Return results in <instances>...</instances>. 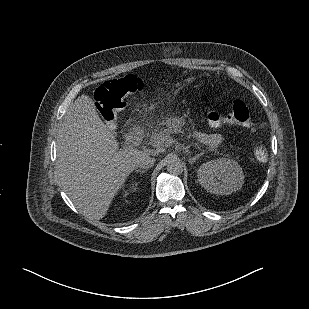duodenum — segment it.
<instances>
[{"mask_svg": "<svg viewBox=\"0 0 309 309\" xmlns=\"http://www.w3.org/2000/svg\"><path fill=\"white\" fill-rule=\"evenodd\" d=\"M147 132V127L143 125H135L130 128L128 132V139L130 144H134L144 138Z\"/></svg>", "mask_w": 309, "mask_h": 309, "instance_id": "obj_1", "label": "duodenum"}]
</instances>
